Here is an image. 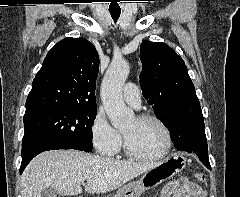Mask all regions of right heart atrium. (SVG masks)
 Wrapping results in <instances>:
<instances>
[{"mask_svg":"<svg viewBox=\"0 0 240 197\" xmlns=\"http://www.w3.org/2000/svg\"><path fill=\"white\" fill-rule=\"evenodd\" d=\"M92 146L101 155H114L122 145L121 134L112 127L103 112H97L90 126Z\"/></svg>","mask_w":240,"mask_h":197,"instance_id":"obj_1","label":"right heart atrium"}]
</instances>
